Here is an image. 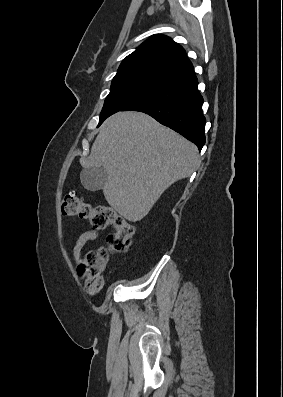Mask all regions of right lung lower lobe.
<instances>
[{"label": "right lung lower lobe", "mask_w": 283, "mask_h": 397, "mask_svg": "<svg viewBox=\"0 0 283 397\" xmlns=\"http://www.w3.org/2000/svg\"><path fill=\"white\" fill-rule=\"evenodd\" d=\"M194 74L179 79L138 99L121 111L144 112L197 145L205 144L206 119L202 113L203 97Z\"/></svg>", "instance_id": "98d812e1"}]
</instances>
